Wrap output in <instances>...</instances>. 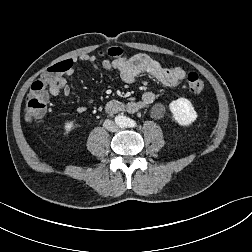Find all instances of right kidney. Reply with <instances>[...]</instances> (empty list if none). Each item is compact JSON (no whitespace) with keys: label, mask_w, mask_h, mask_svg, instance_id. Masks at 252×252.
I'll return each mask as SVG.
<instances>
[{"label":"right kidney","mask_w":252,"mask_h":252,"mask_svg":"<svg viewBox=\"0 0 252 252\" xmlns=\"http://www.w3.org/2000/svg\"><path fill=\"white\" fill-rule=\"evenodd\" d=\"M74 127V122L70 121V122H66L64 125V134L67 135L70 133V131L73 129Z\"/></svg>","instance_id":"ca27d5eb"}]
</instances>
